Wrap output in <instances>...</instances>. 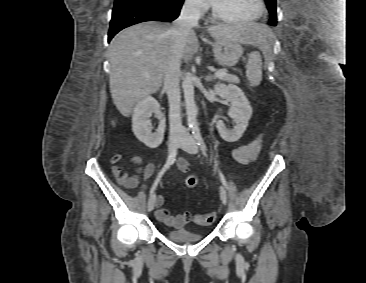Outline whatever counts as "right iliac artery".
I'll return each instance as SVG.
<instances>
[{"label":"right iliac artery","instance_id":"obj_1","mask_svg":"<svg viewBox=\"0 0 366 283\" xmlns=\"http://www.w3.org/2000/svg\"><path fill=\"white\" fill-rule=\"evenodd\" d=\"M176 154H177V151L176 149L173 150L169 156H168V159H167V162L166 164L164 165V167L162 168V170L160 171L157 179L155 180L154 184L152 185L151 189H150V194H152L154 192V190L156 189L157 187V184L160 180V178L162 177V175L164 174V172L174 163L175 161V157H176Z\"/></svg>","mask_w":366,"mask_h":283}]
</instances>
